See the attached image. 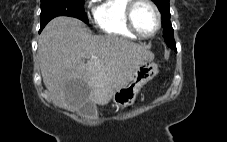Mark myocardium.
Listing matches in <instances>:
<instances>
[{"instance_id": "f54148a6", "label": "myocardium", "mask_w": 227, "mask_h": 142, "mask_svg": "<svg viewBox=\"0 0 227 142\" xmlns=\"http://www.w3.org/2000/svg\"><path fill=\"white\" fill-rule=\"evenodd\" d=\"M142 3L149 5L154 10L156 19H157V27H156L155 31L148 35L141 33L138 30V28L136 27L135 21H134L135 10ZM125 21H126V25H127L128 29L134 35H136L137 37L142 38V39L153 38L154 36H156L159 33V31L161 30V27H162L161 12H160L158 6L152 0H129V3L127 4L126 9H125Z\"/></svg>"}]
</instances>
